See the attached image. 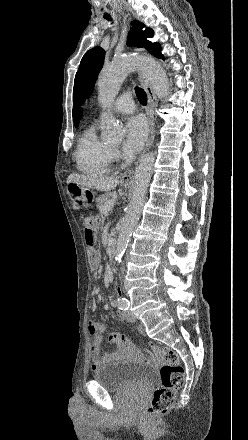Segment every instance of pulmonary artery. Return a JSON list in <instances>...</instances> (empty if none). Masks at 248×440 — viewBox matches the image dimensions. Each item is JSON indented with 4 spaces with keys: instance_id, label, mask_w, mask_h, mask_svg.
<instances>
[{
    "instance_id": "1",
    "label": "pulmonary artery",
    "mask_w": 248,
    "mask_h": 440,
    "mask_svg": "<svg viewBox=\"0 0 248 440\" xmlns=\"http://www.w3.org/2000/svg\"><path fill=\"white\" fill-rule=\"evenodd\" d=\"M112 110L122 114H128L134 110V101L130 92L120 95L114 102Z\"/></svg>"
}]
</instances>
